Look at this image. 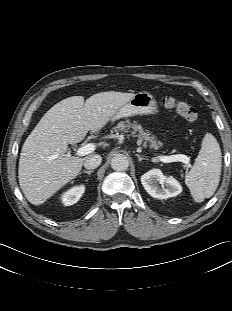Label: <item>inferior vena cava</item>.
Instances as JSON below:
<instances>
[{"label":"inferior vena cava","instance_id":"inferior-vena-cava-1","mask_svg":"<svg viewBox=\"0 0 232 311\" xmlns=\"http://www.w3.org/2000/svg\"><path fill=\"white\" fill-rule=\"evenodd\" d=\"M102 162V157L100 155H92L87 157L84 161V167L86 169H95L97 168Z\"/></svg>","mask_w":232,"mask_h":311}]
</instances>
